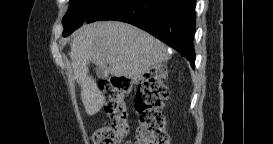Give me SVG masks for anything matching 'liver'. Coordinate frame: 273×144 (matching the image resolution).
Returning <instances> with one entry per match:
<instances>
[{"label":"liver","mask_w":273,"mask_h":144,"mask_svg":"<svg viewBox=\"0 0 273 144\" xmlns=\"http://www.w3.org/2000/svg\"><path fill=\"white\" fill-rule=\"evenodd\" d=\"M169 58L165 44L133 25L107 21L82 26L71 42L70 59L86 113H98L105 103L89 75L90 61L116 77L137 80Z\"/></svg>","instance_id":"liver-1"}]
</instances>
